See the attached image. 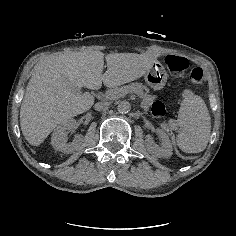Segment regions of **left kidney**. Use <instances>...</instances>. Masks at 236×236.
Listing matches in <instances>:
<instances>
[{
    "mask_svg": "<svg viewBox=\"0 0 236 236\" xmlns=\"http://www.w3.org/2000/svg\"><path fill=\"white\" fill-rule=\"evenodd\" d=\"M161 141L162 146H158L154 143L151 135H146L145 145L150 154L158 158H169L172 155V145L168 135L162 129H156Z\"/></svg>",
    "mask_w": 236,
    "mask_h": 236,
    "instance_id": "1",
    "label": "left kidney"
}]
</instances>
